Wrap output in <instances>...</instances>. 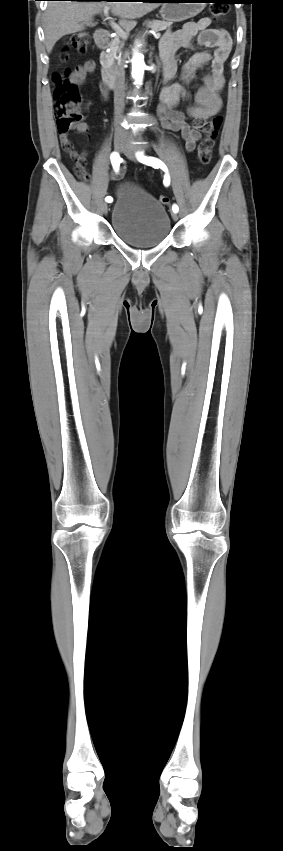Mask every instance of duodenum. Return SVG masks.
<instances>
[{"label": "duodenum", "mask_w": 283, "mask_h": 851, "mask_svg": "<svg viewBox=\"0 0 283 851\" xmlns=\"http://www.w3.org/2000/svg\"><path fill=\"white\" fill-rule=\"evenodd\" d=\"M110 40L111 34L107 30H98L95 34V43L99 48H106L109 45ZM101 74L103 76V83L107 84L110 90L111 86L114 84V77L111 74V71L109 69H104Z\"/></svg>", "instance_id": "obj_1"}]
</instances>
